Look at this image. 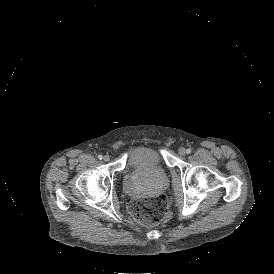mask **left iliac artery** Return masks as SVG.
Returning a JSON list of instances; mask_svg holds the SVG:
<instances>
[{"label": "left iliac artery", "instance_id": "left-iliac-artery-1", "mask_svg": "<svg viewBox=\"0 0 274 274\" xmlns=\"http://www.w3.org/2000/svg\"><path fill=\"white\" fill-rule=\"evenodd\" d=\"M191 151H192V150H191L190 148H188V149L186 150V153H187V154H190Z\"/></svg>", "mask_w": 274, "mask_h": 274}]
</instances>
